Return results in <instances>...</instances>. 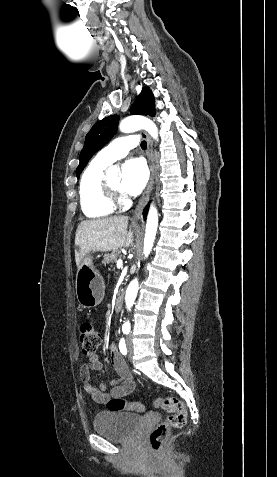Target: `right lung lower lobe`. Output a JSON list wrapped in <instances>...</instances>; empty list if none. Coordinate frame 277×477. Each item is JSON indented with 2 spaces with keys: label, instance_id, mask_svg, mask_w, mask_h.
Returning <instances> with one entry per match:
<instances>
[{
  "label": "right lung lower lobe",
  "instance_id": "obj_1",
  "mask_svg": "<svg viewBox=\"0 0 277 477\" xmlns=\"http://www.w3.org/2000/svg\"><path fill=\"white\" fill-rule=\"evenodd\" d=\"M147 210H148V206L145 208V212H144V218L146 217L147 215Z\"/></svg>",
  "mask_w": 277,
  "mask_h": 477
}]
</instances>
